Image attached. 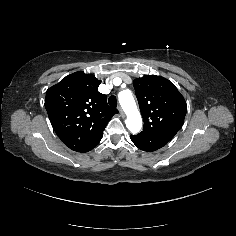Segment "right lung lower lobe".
Segmentation results:
<instances>
[{"label": "right lung lower lobe", "instance_id": "98d812e1", "mask_svg": "<svg viewBox=\"0 0 236 236\" xmlns=\"http://www.w3.org/2000/svg\"><path fill=\"white\" fill-rule=\"evenodd\" d=\"M100 142V141H99ZM98 144V143H97ZM96 144V145H97ZM96 145H94V146H92V147H90V148H88V149H86V150H84V151H82V152H88V151H90L91 149H93Z\"/></svg>", "mask_w": 236, "mask_h": 236}]
</instances>
